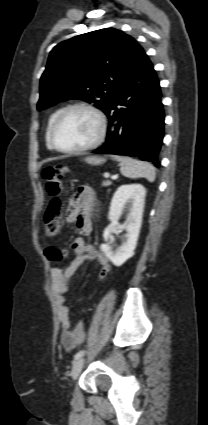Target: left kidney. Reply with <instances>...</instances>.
Masks as SVG:
<instances>
[{
	"label": "left kidney",
	"mask_w": 208,
	"mask_h": 425,
	"mask_svg": "<svg viewBox=\"0 0 208 425\" xmlns=\"http://www.w3.org/2000/svg\"><path fill=\"white\" fill-rule=\"evenodd\" d=\"M146 190L140 184L121 185L114 193L108 218L111 223L103 233L105 244L100 246L101 251L110 259L115 266H121L134 255L139 232L142 224ZM123 212L126 213L127 221L124 228L127 231L126 241L117 250L113 251L109 238Z\"/></svg>",
	"instance_id": "1"
}]
</instances>
